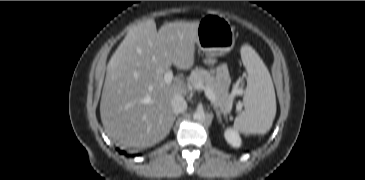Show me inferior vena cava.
Returning a JSON list of instances; mask_svg holds the SVG:
<instances>
[{"label":"inferior vena cava","mask_w":365,"mask_h":180,"mask_svg":"<svg viewBox=\"0 0 365 180\" xmlns=\"http://www.w3.org/2000/svg\"><path fill=\"white\" fill-rule=\"evenodd\" d=\"M171 105L175 114L182 113L187 109V103L185 99L180 95H175L172 98Z\"/></svg>","instance_id":"obj_1"}]
</instances>
